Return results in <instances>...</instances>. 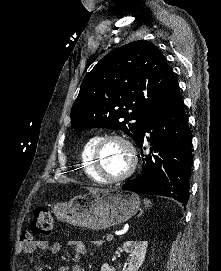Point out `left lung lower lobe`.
<instances>
[{
	"instance_id": "left-lung-lower-lobe-1",
	"label": "left lung lower lobe",
	"mask_w": 221,
	"mask_h": 271,
	"mask_svg": "<svg viewBox=\"0 0 221 271\" xmlns=\"http://www.w3.org/2000/svg\"><path fill=\"white\" fill-rule=\"evenodd\" d=\"M146 132L150 137L145 138ZM145 139L151 145L150 152L156 155L143 154L142 148L146 149L143 147ZM135 142L141 148L142 171L122 188L150 195L170 196L186 205L189 200L192 136L179 88L163 108L144 122Z\"/></svg>"
}]
</instances>
